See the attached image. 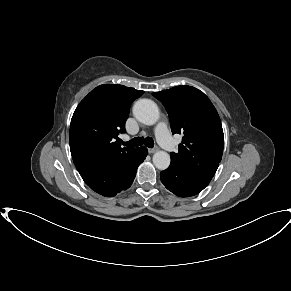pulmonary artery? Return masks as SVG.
<instances>
[{
    "label": "pulmonary artery",
    "mask_w": 291,
    "mask_h": 291,
    "mask_svg": "<svg viewBox=\"0 0 291 291\" xmlns=\"http://www.w3.org/2000/svg\"><path fill=\"white\" fill-rule=\"evenodd\" d=\"M158 143L168 152L176 149V143L171 137L166 123L161 122L155 128Z\"/></svg>",
    "instance_id": "pulmonary-artery-1"
}]
</instances>
